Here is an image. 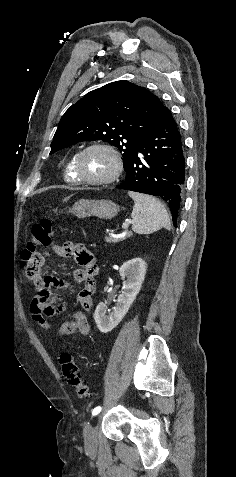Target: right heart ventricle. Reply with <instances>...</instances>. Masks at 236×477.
<instances>
[{
	"label": "right heart ventricle",
	"mask_w": 236,
	"mask_h": 477,
	"mask_svg": "<svg viewBox=\"0 0 236 477\" xmlns=\"http://www.w3.org/2000/svg\"><path fill=\"white\" fill-rule=\"evenodd\" d=\"M77 154L73 155L66 163L63 171L64 180L72 185L79 184L78 179L74 173L73 165Z\"/></svg>",
	"instance_id": "e07e8e85"
}]
</instances>
